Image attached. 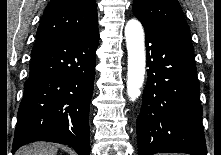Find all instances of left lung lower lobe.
Instances as JSON below:
<instances>
[{
  "mask_svg": "<svg viewBox=\"0 0 221 155\" xmlns=\"http://www.w3.org/2000/svg\"><path fill=\"white\" fill-rule=\"evenodd\" d=\"M137 18L145 29L149 67L137 118L138 155H207L192 42Z\"/></svg>",
  "mask_w": 221,
  "mask_h": 155,
  "instance_id": "1",
  "label": "left lung lower lobe"
}]
</instances>
